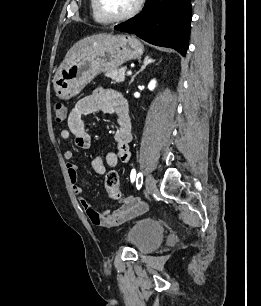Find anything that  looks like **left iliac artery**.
Here are the masks:
<instances>
[{"label":"left iliac artery","mask_w":261,"mask_h":306,"mask_svg":"<svg viewBox=\"0 0 261 306\" xmlns=\"http://www.w3.org/2000/svg\"><path fill=\"white\" fill-rule=\"evenodd\" d=\"M130 178H131V182H133L135 180V178H136V171H135V169H133L131 171ZM142 183H143V175H142V173H139L137 175V178H136V186H137L138 189L141 188Z\"/></svg>","instance_id":"left-iliac-artery-1"}]
</instances>
